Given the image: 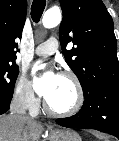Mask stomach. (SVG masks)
Returning <instances> with one entry per match:
<instances>
[{
    "label": "stomach",
    "mask_w": 119,
    "mask_h": 141,
    "mask_svg": "<svg viewBox=\"0 0 119 141\" xmlns=\"http://www.w3.org/2000/svg\"><path fill=\"white\" fill-rule=\"evenodd\" d=\"M51 141H82L81 137L73 130L54 131L50 135Z\"/></svg>",
    "instance_id": "0dacf381"
}]
</instances>
